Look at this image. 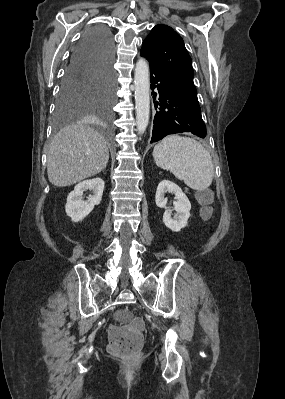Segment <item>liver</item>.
<instances>
[{"instance_id": "liver-1", "label": "liver", "mask_w": 285, "mask_h": 399, "mask_svg": "<svg viewBox=\"0 0 285 399\" xmlns=\"http://www.w3.org/2000/svg\"><path fill=\"white\" fill-rule=\"evenodd\" d=\"M108 160L107 142L100 133L82 123L69 125L50 143L48 179L54 186H70L100 173Z\"/></svg>"}]
</instances>
